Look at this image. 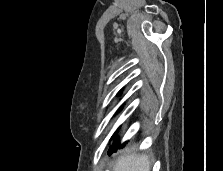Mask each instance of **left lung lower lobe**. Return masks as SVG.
I'll return each mask as SVG.
<instances>
[{"instance_id":"obj_1","label":"left lung lower lobe","mask_w":223,"mask_h":171,"mask_svg":"<svg viewBox=\"0 0 223 171\" xmlns=\"http://www.w3.org/2000/svg\"><path fill=\"white\" fill-rule=\"evenodd\" d=\"M117 132H118V130H117ZM117 132H116V133H117ZM116 133L112 136L111 140L115 137ZM126 143H127V142L123 143L122 145H118V144H116L115 146H111V147H110V150H109V154H111L112 152H116L117 149L123 148V147L125 146Z\"/></svg>"}]
</instances>
